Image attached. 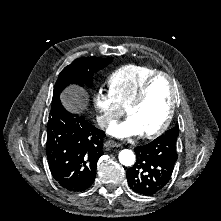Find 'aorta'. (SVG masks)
<instances>
[{"label":"aorta","mask_w":221,"mask_h":221,"mask_svg":"<svg viewBox=\"0 0 221 221\" xmlns=\"http://www.w3.org/2000/svg\"><path fill=\"white\" fill-rule=\"evenodd\" d=\"M119 161L124 166H132L135 162V154L132 150L124 149L119 153Z\"/></svg>","instance_id":"obj_1"}]
</instances>
